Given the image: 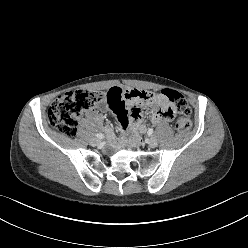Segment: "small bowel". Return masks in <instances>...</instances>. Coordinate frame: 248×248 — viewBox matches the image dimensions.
Here are the masks:
<instances>
[{
	"label": "small bowel",
	"mask_w": 248,
	"mask_h": 248,
	"mask_svg": "<svg viewBox=\"0 0 248 248\" xmlns=\"http://www.w3.org/2000/svg\"><path fill=\"white\" fill-rule=\"evenodd\" d=\"M105 98L107 107L117 115L124 128L130 127L141 132L147 130V126L140 123L143 104L152 107L151 122L153 124L167 122L174 115L173 112H168L169 101L163 93H150L136 88L126 89L125 86L118 85L116 87L109 86L106 89ZM92 114L95 113L92 112ZM105 131L110 142L116 143V138L110 127L106 126Z\"/></svg>",
	"instance_id": "1"
}]
</instances>
